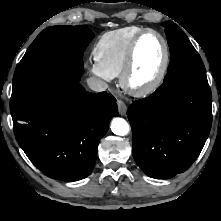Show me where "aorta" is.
I'll use <instances>...</instances> for the list:
<instances>
[{"label": "aorta", "mask_w": 221, "mask_h": 221, "mask_svg": "<svg viewBox=\"0 0 221 221\" xmlns=\"http://www.w3.org/2000/svg\"><path fill=\"white\" fill-rule=\"evenodd\" d=\"M111 130L114 134L125 136L129 132V124L123 118H114L111 122Z\"/></svg>", "instance_id": "1"}]
</instances>
